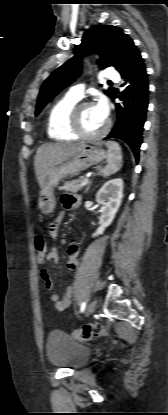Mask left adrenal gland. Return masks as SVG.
I'll list each match as a JSON object with an SVG mask.
<instances>
[{"mask_svg": "<svg viewBox=\"0 0 168 415\" xmlns=\"http://www.w3.org/2000/svg\"><path fill=\"white\" fill-rule=\"evenodd\" d=\"M97 171H98V172H97L96 174H94V176H96V175H100V174H101V172H102V167L98 166V167H97ZM91 184H92V180H90V181L88 182V185H87V187H86V189H85V193H88V191H89V188H90Z\"/></svg>", "mask_w": 168, "mask_h": 415, "instance_id": "left-adrenal-gland-1", "label": "left adrenal gland"}]
</instances>
